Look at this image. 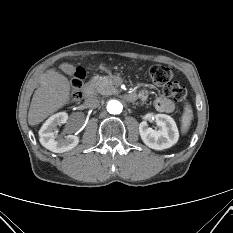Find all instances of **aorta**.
I'll use <instances>...</instances> for the list:
<instances>
[{"label":"aorta","mask_w":233,"mask_h":233,"mask_svg":"<svg viewBox=\"0 0 233 233\" xmlns=\"http://www.w3.org/2000/svg\"><path fill=\"white\" fill-rule=\"evenodd\" d=\"M122 109L123 105L117 100H110L107 104V111L110 114H120Z\"/></svg>","instance_id":"obj_1"}]
</instances>
